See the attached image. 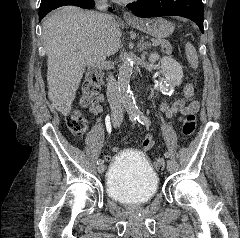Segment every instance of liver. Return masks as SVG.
<instances>
[{"mask_svg": "<svg viewBox=\"0 0 240 238\" xmlns=\"http://www.w3.org/2000/svg\"><path fill=\"white\" fill-rule=\"evenodd\" d=\"M93 12L64 6L43 21L42 36L48 56V97L67 116L86 65H100L121 46V31L112 19L98 22Z\"/></svg>", "mask_w": 240, "mask_h": 238, "instance_id": "liver-1", "label": "liver"}]
</instances>
